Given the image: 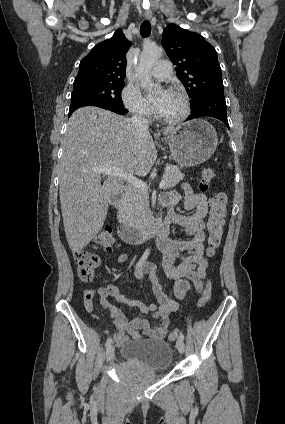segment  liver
Masks as SVG:
<instances>
[{
    "instance_id": "6515ba94",
    "label": "liver",
    "mask_w": 285,
    "mask_h": 424,
    "mask_svg": "<svg viewBox=\"0 0 285 424\" xmlns=\"http://www.w3.org/2000/svg\"><path fill=\"white\" fill-rule=\"evenodd\" d=\"M174 131L167 128L163 134ZM157 158L152 136L137 131L130 118L98 107L77 109L67 123L59 163V195L70 249L80 252L101 230L111 197L125 189L124 179L110 176L101 184L94 168L113 165L146 176Z\"/></svg>"
}]
</instances>
